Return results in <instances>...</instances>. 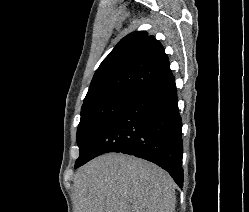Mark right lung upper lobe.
<instances>
[{"label":"right lung upper lobe","mask_w":249,"mask_h":212,"mask_svg":"<svg viewBox=\"0 0 249 212\" xmlns=\"http://www.w3.org/2000/svg\"><path fill=\"white\" fill-rule=\"evenodd\" d=\"M172 76L160 42L145 31L124 37L96 70L84 101L117 91L141 94Z\"/></svg>","instance_id":"right-lung-upper-lobe-1"}]
</instances>
